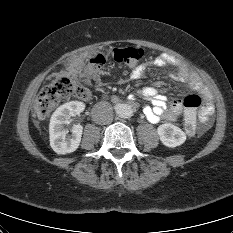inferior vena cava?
Wrapping results in <instances>:
<instances>
[{"label":"inferior vena cava","mask_w":233,"mask_h":233,"mask_svg":"<svg viewBox=\"0 0 233 233\" xmlns=\"http://www.w3.org/2000/svg\"><path fill=\"white\" fill-rule=\"evenodd\" d=\"M92 118L98 124H110L114 118L113 108L107 102H99L93 107Z\"/></svg>","instance_id":"602c4592"}]
</instances>
